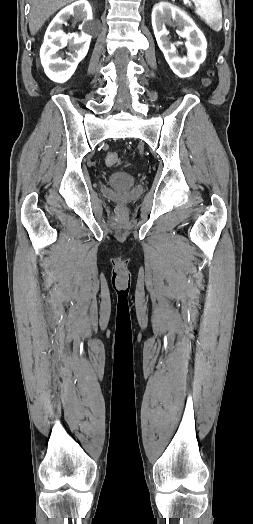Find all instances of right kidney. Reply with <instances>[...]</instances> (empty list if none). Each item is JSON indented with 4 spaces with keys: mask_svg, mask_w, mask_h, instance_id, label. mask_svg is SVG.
<instances>
[{
    "mask_svg": "<svg viewBox=\"0 0 253 524\" xmlns=\"http://www.w3.org/2000/svg\"><path fill=\"white\" fill-rule=\"evenodd\" d=\"M70 17L82 20L81 33L65 34L62 25ZM92 8L86 0H79L62 9L52 20L40 49V58L46 75L58 83L66 82L75 72L78 63L86 56L90 41V24ZM68 46L70 53L62 59L59 50Z\"/></svg>",
    "mask_w": 253,
    "mask_h": 524,
    "instance_id": "1",
    "label": "right kidney"
}]
</instances>
